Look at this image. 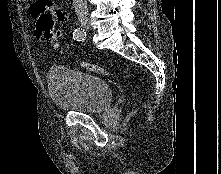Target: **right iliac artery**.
<instances>
[{
    "label": "right iliac artery",
    "mask_w": 221,
    "mask_h": 174,
    "mask_svg": "<svg viewBox=\"0 0 221 174\" xmlns=\"http://www.w3.org/2000/svg\"><path fill=\"white\" fill-rule=\"evenodd\" d=\"M86 37V32L82 28H76L73 32V38L76 41H83Z\"/></svg>",
    "instance_id": "obj_1"
}]
</instances>
